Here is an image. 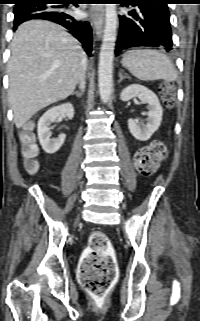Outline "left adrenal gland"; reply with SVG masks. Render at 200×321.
Listing matches in <instances>:
<instances>
[{
    "mask_svg": "<svg viewBox=\"0 0 200 321\" xmlns=\"http://www.w3.org/2000/svg\"><path fill=\"white\" fill-rule=\"evenodd\" d=\"M119 77H120V79H119V83L124 79V78H129L128 76H124L123 74H122V72H120L119 73Z\"/></svg>",
    "mask_w": 200,
    "mask_h": 321,
    "instance_id": "left-adrenal-gland-1",
    "label": "left adrenal gland"
}]
</instances>
